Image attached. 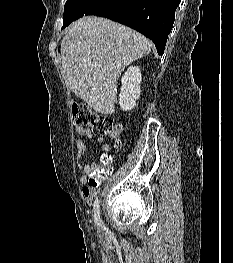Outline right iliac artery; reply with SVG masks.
Listing matches in <instances>:
<instances>
[{"mask_svg": "<svg viewBox=\"0 0 233 263\" xmlns=\"http://www.w3.org/2000/svg\"><path fill=\"white\" fill-rule=\"evenodd\" d=\"M94 220L97 225H101V218H100V206H99V200L96 199L94 202Z\"/></svg>", "mask_w": 233, "mask_h": 263, "instance_id": "right-iliac-artery-1", "label": "right iliac artery"}]
</instances>
